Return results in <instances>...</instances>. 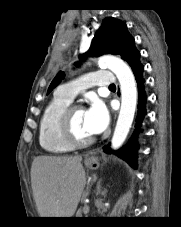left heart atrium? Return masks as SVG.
Instances as JSON below:
<instances>
[{"instance_id":"obj_1","label":"left heart atrium","mask_w":181,"mask_h":227,"mask_svg":"<svg viewBox=\"0 0 181 227\" xmlns=\"http://www.w3.org/2000/svg\"><path fill=\"white\" fill-rule=\"evenodd\" d=\"M109 114L100 101H95L85 110V123L92 134H99L108 125Z\"/></svg>"}]
</instances>
